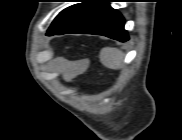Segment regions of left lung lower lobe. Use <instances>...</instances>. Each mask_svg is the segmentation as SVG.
<instances>
[{
    "instance_id": "0a47b994",
    "label": "left lung lower lobe",
    "mask_w": 182,
    "mask_h": 140,
    "mask_svg": "<svg viewBox=\"0 0 182 140\" xmlns=\"http://www.w3.org/2000/svg\"><path fill=\"white\" fill-rule=\"evenodd\" d=\"M108 2L110 1H106L66 33L104 35L121 42L127 41L129 38L124 30V18Z\"/></svg>"
}]
</instances>
